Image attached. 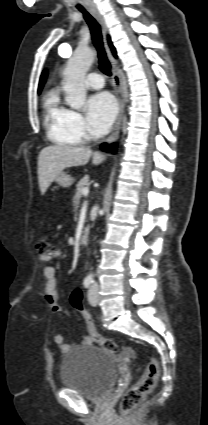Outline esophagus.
<instances>
[{
  "label": "esophagus",
  "instance_id": "obj_1",
  "mask_svg": "<svg viewBox=\"0 0 208 425\" xmlns=\"http://www.w3.org/2000/svg\"><path fill=\"white\" fill-rule=\"evenodd\" d=\"M89 12L101 25L102 32H103V35H104L107 55H108V58L110 60L111 65H112L113 86H114V89H115V92H116V95H117V99H118V102H119V114H118L117 120H116V122L113 126L111 134L106 139L107 143H112V142H115L118 139L120 129H121V123H122V119H123V115H124L125 104H124V99H123L122 90H121V79H120V76L117 72L118 62L113 57L112 52H111V50H110V48L107 44V40H106L107 26H106L105 20H104L103 16L99 13V11L95 7H90Z\"/></svg>",
  "mask_w": 208,
  "mask_h": 425
}]
</instances>
